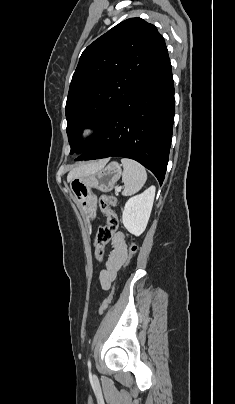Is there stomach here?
Listing matches in <instances>:
<instances>
[{
    "instance_id": "obj_1",
    "label": "stomach",
    "mask_w": 235,
    "mask_h": 404,
    "mask_svg": "<svg viewBox=\"0 0 235 404\" xmlns=\"http://www.w3.org/2000/svg\"><path fill=\"white\" fill-rule=\"evenodd\" d=\"M121 165L112 161L95 173L74 178L70 188L75 201L87 221L96 216L97 198L92 189L110 192L121 177Z\"/></svg>"
}]
</instances>
